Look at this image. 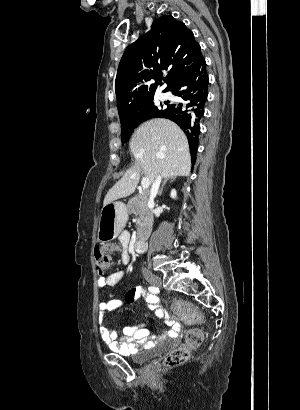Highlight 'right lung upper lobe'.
I'll list each match as a JSON object with an SVG mask.
<instances>
[{
  "instance_id": "right-lung-upper-lobe-1",
  "label": "right lung upper lobe",
  "mask_w": 300,
  "mask_h": 410,
  "mask_svg": "<svg viewBox=\"0 0 300 410\" xmlns=\"http://www.w3.org/2000/svg\"><path fill=\"white\" fill-rule=\"evenodd\" d=\"M202 57L199 44L184 23L171 15L157 19L148 33L127 47L119 63L115 91L120 121L136 117L161 80L167 83L164 91H171L176 80Z\"/></svg>"
}]
</instances>
